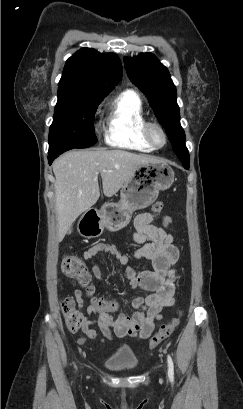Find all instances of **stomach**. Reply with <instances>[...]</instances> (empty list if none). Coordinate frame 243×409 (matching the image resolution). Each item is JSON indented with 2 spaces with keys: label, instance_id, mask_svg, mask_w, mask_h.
I'll list each match as a JSON object with an SVG mask.
<instances>
[{
  "label": "stomach",
  "instance_id": "obj_1",
  "mask_svg": "<svg viewBox=\"0 0 243 409\" xmlns=\"http://www.w3.org/2000/svg\"><path fill=\"white\" fill-rule=\"evenodd\" d=\"M175 180L173 169L165 162L154 161L140 166L123 185L118 203H107L85 223L84 216L78 227L87 238L98 237L104 228L111 232L127 226L132 213L150 206L159 192L172 186ZM87 211L85 214H88Z\"/></svg>",
  "mask_w": 243,
  "mask_h": 409
}]
</instances>
